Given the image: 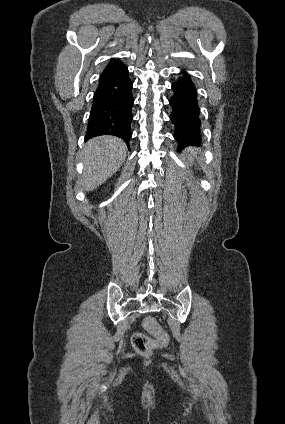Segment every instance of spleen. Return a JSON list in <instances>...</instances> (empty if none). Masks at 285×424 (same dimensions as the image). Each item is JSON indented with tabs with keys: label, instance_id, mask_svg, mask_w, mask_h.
Listing matches in <instances>:
<instances>
[{
	"label": "spleen",
	"instance_id": "3e777b00",
	"mask_svg": "<svg viewBox=\"0 0 285 424\" xmlns=\"http://www.w3.org/2000/svg\"><path fill=\"white\" fill-rule=\"evenodd\" d=\"M188 152H189L190 154H193V155L195 154V153H194V149H192V148H189V149H188Z\"/></svg>",
	"mask_w": 285,
	"mask_h": 424
}]
</instances>
